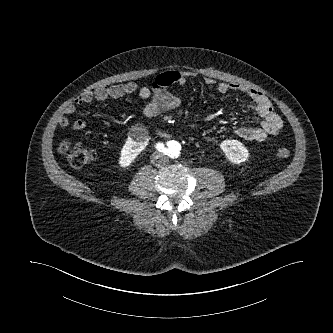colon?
Wrapping results in <instances>:
<instances>
[{
    "instance_id": "5ec220e1",
    "label": "colon",
    "mask_w": 333,
    "mask_h": 333,
    "mask_svg": "<svg viewBox=\"0 0 333 333\" xmlns=\"http://www.w3.org/2000/svg\"><path fill=\"white\" fill-rule=\"evenodd\" d=\"M61 152L65 154L69 164L74 168H82L91 163L95 154L93 150L80 145L64 143L61 148ZM290 150L286 147H280L276 150L275 156L279 159H286L290 156Z\"/></svg>"
}]
</instances>
